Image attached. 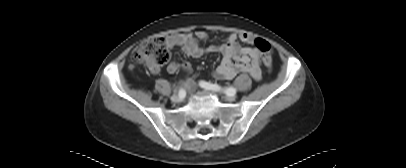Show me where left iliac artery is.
<instances>
[{"mask_svg": "<svg viewBox=\"0 0 406 168\" xmlns=\"http://www.w3.org/2000/svg\"><path fill=\"white\" fill-rule=\"evenodd\" d=\"M199 85L202 88H205V89H208V90L223 91L226 95L236 94V89L234 87H229V88H226V89H222L219 85L212 84V83L206 82V81H200Z\"/></svg>", "mask_w": 406, "mask_h": 168, "instance_id": "44dca946", "label": "left iliac artery"}]
</instances>
